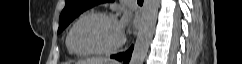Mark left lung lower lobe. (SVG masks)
Returning a JSON list of instances; mask_svg holds the SVG:
<instances>
[{
  "mask_svg": "<svg viewBox=\"0 0 242 64\" xmlns=\"http://www.w3.org/2000/svg\"><path fill=\"white\" fill-rule=\"evenodd\" d=\"M132 51L133 46H131L129 50H127L126 52L112 55L111 58L116 59L118 61H122L124 64H128L129 60L131 59Z\"/></svg>",
  "mask_w": 242,
  "mask_h": 64,
  "instance_id": "0a47b994",
  "label": "left lung lower lobe"
}]
</instances>
